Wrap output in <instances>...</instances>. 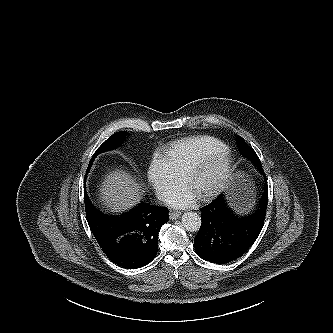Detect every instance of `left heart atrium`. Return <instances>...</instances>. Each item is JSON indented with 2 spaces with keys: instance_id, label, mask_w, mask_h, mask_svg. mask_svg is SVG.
Instances as JSON below:
<instances>
[{
  "instance_id": "39dd6f15",
  "label": "left heart atrium",
  "mask_w": 333,
  "mask_h": 333,
  "mask_svg": "<svg viewBox=\"0 0 333 333\" xmlns=\"http://www.w3.org/2000/svg\"><path fill=\"white\" fill-rule=\"evenodd\" d=\"M196 198V194L190 189H182L169 198V203L175 207H188L190 206Z\"/></svg>"
}]
</instances>
